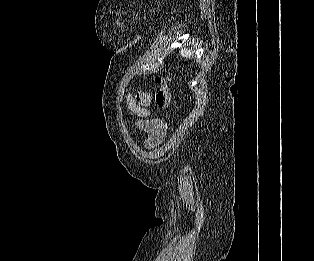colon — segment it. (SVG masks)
Wrapping results in <instances>:
<instances>
[{"label": "colon", "instance_id": "1", "mask_svg": "<svg viewBox=\"0 0 314 261\" xmlns=\"http://www.w3.org/2000/svg\"><path fill=\"white\" fill-rule=\"evenodd\" d=\"M170 80L171 76L167 74H159L155 77V81L159 87L155 93L154 101L159 108H167L171 103Z\"/></svg>", "mask_w": 314, "mask_h": 261}]
</instances>
